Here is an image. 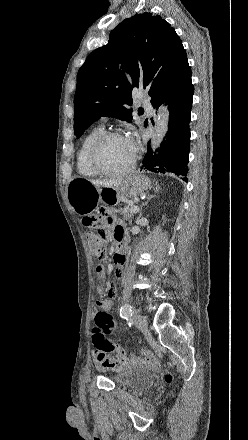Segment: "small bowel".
I'll list each match as a JSON object with an SVG mask.
<instances>
[{
	"label": "small bowel",
	"instance_id": "1",
	"mask_svg": "<svg viewBox=\"0 0 248 440\" xmlns=\"http://www.w3.org/2000/svg\"><path fill=\"white\" fill-rule=\"evenodd\" d=\"M104 225L111 231L114 239L117 241L118 244L120 243H125V238H124V228L122 223L112 214H107L104 218ZM115 265H116V274L117 276H120L122 273V266L124 265V258L120 257V256H116L115 257ZM98 273L100 275H103V271L107 270V260L106 259H99L98 260ZM107 287H109L110 289L108 290L107 293V298L105 299H100L98 301H96L95 305H94V309L95 310H108L112 307L113 304V300L116 296V292L121 293L125 290V287L121 284L117 285V282L115 280L109 279L106 282ZM116 286V287H115ZM115 287V288H112ZM99 293L103 294L104 290L102 288L99 289ZM151 361V355L150 354H146V357L144 359H141L137 356H132L131 359L129 360V363L131 365H138V364H144ZM96 364L98 369H105L106 366L100 362L97 357H96Z\"/></svg>",
	"mask_w": 248,
	"mask_h": 440
}]
</instances>
